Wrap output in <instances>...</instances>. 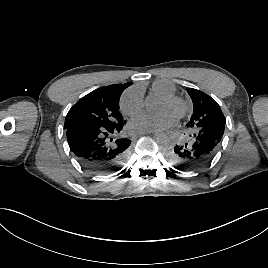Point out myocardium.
Returning <instances> with one entry per match:
<instances>
[{
	"mask_svg": "<svg viewBox=\"0 0 268 268\" xmlns=\"http://www.w3.org/2000/svg\"><path fill=\"white\" fill-rule=\"evenodd\" d=\"M163 101L171 106L176 107V115L178 118H184L190 111V105L186 99L178 95L163 97Z\"/></svg>",
	"mask_w": 268,
	"mask_h": 268,
	"instance_id": "obj_1",
	"label": "myocardium"
}]
</instances>
